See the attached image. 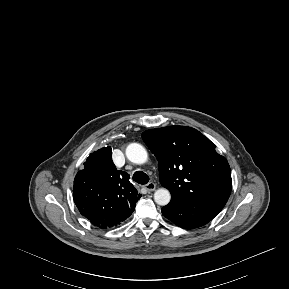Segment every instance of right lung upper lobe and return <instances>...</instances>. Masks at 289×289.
<instances>
[{
  "label": "right lung upper lobe",
  "instance_id": "right-lung-upper-lobe-1",
  "mask_svg": "<svg viewBox=\"0 0 289 289\" xmlns=\"http://www.w3.org/2000/svg\"><path fill=\"white\" fill-rule=\"evenodd\" d=\"M140 197L129 175L116 169L109 146L90 154L74 180V202L87 219H106L134 207Z\"/></svg>",
  "mask_w": 289,
  "mask_h": 289
}]
</instances>
